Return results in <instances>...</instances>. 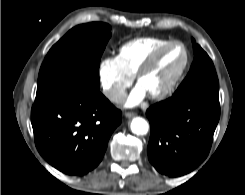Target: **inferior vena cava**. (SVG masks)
Instances as JSON below:
<instances>
[{
	"label": "inferior vena cava",
	"mask_w": 245,
	"mask_h": 195,
	"mask_svg": "<svg viewBox=\"0 0 245 195\" xmlns=\"http://www.w3.org/2000/svg\"><path fill=\"white\" fill-rule=\"evenodd\" d=\"M107 96L115 103H124L127 98V93L123 90H110L107 92Z\"/></svg>",
	"instance_id": "602c4592"
}]
</instances>
